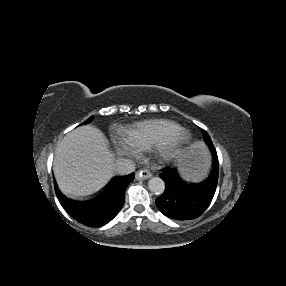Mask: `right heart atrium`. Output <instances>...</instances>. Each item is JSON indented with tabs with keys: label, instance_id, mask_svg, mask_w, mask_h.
I'll use <instances>...</instances> for the list:
<instances>
[{
	"label": "right heart atrium",
	"instance_id": "right-heart-atrium-1",
	"mask_svg": "<svg viewBox=\"0 0 286 286\" xmlns=\"http://www.w3.org/2000/svg\"><path fill=\"white\" fill-rule=\"evenodd\" d=\"M113 144L115 149L122 155L135 157L140 149L137 145L130 139L129 136H119L114 138Z\"/></svg>",
	"mask_w": 286,
	"mask_h": 286
}]
</instances>
